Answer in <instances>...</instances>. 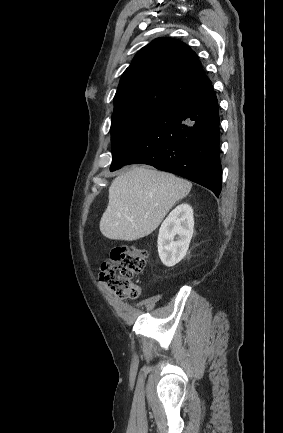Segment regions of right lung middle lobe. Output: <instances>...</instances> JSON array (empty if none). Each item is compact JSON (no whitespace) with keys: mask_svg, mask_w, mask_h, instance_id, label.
<instances>
[{"mask_svg":"<svg viewBox=\"0 0 283 433\" xmlns=\"http://www.w3.org/2000/svg\"><path fill=\"white\" fill-rule=\"evenodd\" d=\"M161 112L162 110L140 106L114 109L111 119L112 157L117 156Z\"/></svg>","mask_w":283,"mask_h":433,"instance_id":"obj_1","label":"right lung middle lobe"}]
</instances>
